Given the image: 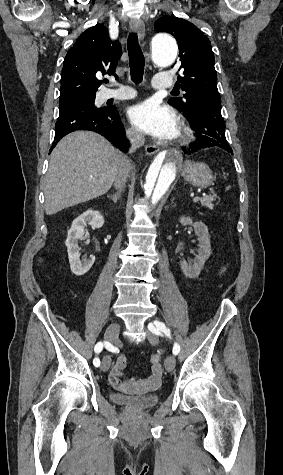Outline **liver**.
Masks as SVG:
<instances>
[{"instance_id":"liver-1","label":"liver","mask_w":283,"mask_h":475,"mask_svg":"<svg viewBox=\"0 0 283 475\" xmlns=\"http://www.w3.org/2000/svg\"><path fill=\"white\" fill-rule=\"evenodd\" d=\"M123 154L95 132H73L51 154L44 196L47 216L110 190Z\"/></svg>"}]
</instances>
